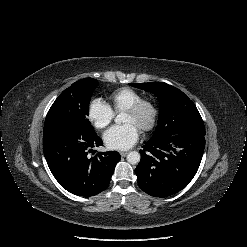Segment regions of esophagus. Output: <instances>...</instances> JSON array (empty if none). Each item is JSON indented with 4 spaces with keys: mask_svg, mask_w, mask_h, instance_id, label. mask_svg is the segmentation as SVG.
<instances>
[{
    "mask_svg": "<svg viewBox=\"0 0 247 247\" xmlns=\"http://www.w3.org/2000/svg\"><path fill=\"white\" fill-rule=\"evenodd\" d=\"M120 155H121L122 157H125V156L127 155V152L121 151V152H120Z\"/></svg>",
    "mask_w": 247,
    "mask_h": 247,
    "instance_id": "34e87169",
    "label": "esophagus"
}]
</instances>
